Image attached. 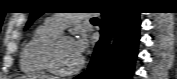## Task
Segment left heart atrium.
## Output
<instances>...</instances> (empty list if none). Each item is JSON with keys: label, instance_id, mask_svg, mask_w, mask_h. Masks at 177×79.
<instances>
[{"label": "left heart atrium", "instance_id": "39dd6f15", "mask_svg": "<svg viewBox=\"0 0 177 79\" xmlns=\"http://www.w3.org/2000/svg\"><path fill=\"white\" fill-rule=\"evenodd\" d=\"M74 46L77 54L81 57L88 47V39L85 35H80L75 41Z\"/></svg>", "mask_w": 177, "mask_h": 79}]
</instances>
